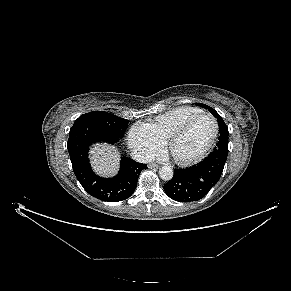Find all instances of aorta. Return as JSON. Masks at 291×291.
<instances>
[{
	"label": "aorta",
	"instance_id": "762f6f07",
	"mask_svg": "<svg viewBox=\"0 0 291 291\" xmlns=\"http://www.w3.org/2000/svg\"><path fill=\"white\" fill-rule=\"evenodd\" d=\"M159 175L160 178L164 181H169L172 179L173 177V170L171 167L169 166H163L160 170H159Z\"/></svg>",
	"mask_w": 291,
	"mask_h": 291
}]
</instances>
